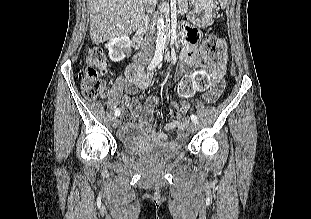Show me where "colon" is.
<instances>
[{
  "instance_id": "1",
  "label": "colon",
  "mask_w": 311,
  "mask_h": 219,
  "mask_svg": "<svg viewBox=\"0 0 311 219\" xmlns=\"http://www.w3.org/2000/svg\"><path fill=\"white\" fill-rule=\"evenodd\" d=\"M190 33L196 34L193 29ZM200 54L204 62L210 64L212 69L224 71L223 63L226 57V43L218 36H208L204 39ZM83 70L80 74L82 92L86 99L97 101L102 99L107 91L104 76L109 73V64L104 52L99 47L90 48L83 59ZM209 85V77L204 73H198L184 81L179 87L181 95H189L196 90H203Z\"/></svg>"
}]
</instances>
